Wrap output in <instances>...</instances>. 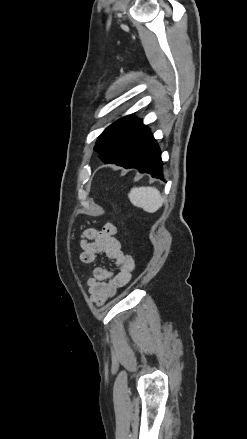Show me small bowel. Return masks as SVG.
Here are the masks:
<instances>
[{
    "instance_id": "c3829d8e",
    "label": "small bowel",
    "mask_w": 247,
    "mask_h": 439,
    "mask_svg": "<svg viewBox=\"0 0 247 439\" xmlns=\"http://www.w3.org/2000/svg\"><path fill=\"white\" fill-rule=\"evenodd\" d=\"M115 234V226L108 223L101 229H86L82 235L81 262L93 263L99 255L104 254L113 260L116 266L114 272L101 266L95 267L92 277L87 281L90 300L97 305L104 304L115 295L118 288L126 285L135 268L134 259L124 252Z\"/></svg>"
}]
</instances>
